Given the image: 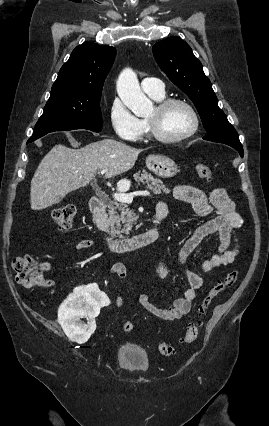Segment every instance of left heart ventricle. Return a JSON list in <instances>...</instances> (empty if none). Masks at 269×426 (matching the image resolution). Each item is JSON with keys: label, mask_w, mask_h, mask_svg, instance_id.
I'll list each match as a JSON object with an SVG mask.
<instances>
[{"label": "left heart ventricle", "mask_w": 269, "mask_h": 426, "mask_svg": "<svg viewBox=\"0 0 269 426\" xmlns=\"http://www.w3.org/2000/svg\"><path fill=\"white\" fill-rule=\"evenodd\" d=\"M156 120L161 131L167 136H179L189 131L193 126L190 111L182 105L170 107L163 115L158 116L155 108L147 116Z\"/></svg>", "instance_id": "b2bd125f"}]
</instances>
